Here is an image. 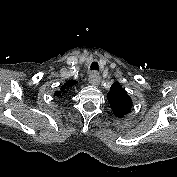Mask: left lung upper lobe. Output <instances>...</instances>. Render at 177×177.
<instances>
[{"label": "left lung upper lobe", "mask_w": 177, "mask_h": 177, "mask_svg": "<svg viewBox=\"0 0 177 177\" xmlns=\"http://www.w3.org/2000/svg\"><path fill=\"white\" fill-rule=\"evenodd\" d=\"M111 108L117 117H123L130 113L132 107V100L127 95V92L115 82L107 94Z\"/></svg>", "instance_id": "obj_1"}]
</instances>
